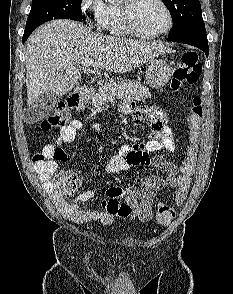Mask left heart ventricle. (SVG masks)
<instances>
[{
    "label": "left heart ventricle",
    "mask_w": 233,
    "mask_h": 294,
    "mask_svg": "<svg viewBox=\"0 0 233 294\" xmlns=\"http://www.w3.org/2000/svg\"><path fill=\"white\" fill-rule=\"evenodd\" d=\"M137 27L145 33H156L165 28L167 16L156 0H139L134 8Z\"/></svg>",
    "instance_id": "left-heart-ventricle-1"
}]
</instances>
